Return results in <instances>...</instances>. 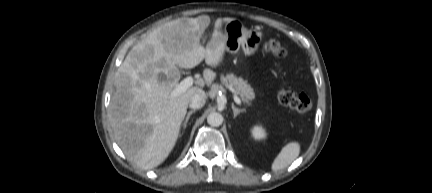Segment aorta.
<instances>
[{
  "label": "aorta",
  "instance_id": "1",
  "mask_svg": "<svg viewBox=\"0 0 432 193\" xmlns=\"http://www.w3.org/2000/svg\"><path fill=\"white\" fill-rule=\"evenodd\" d=\"M207 122L213 127L220 126L223 123V116L218 112H212L207 116Z\"/></svg>",
  "mask_w": 432,
  "mask_h": 193
}]
</instances>
